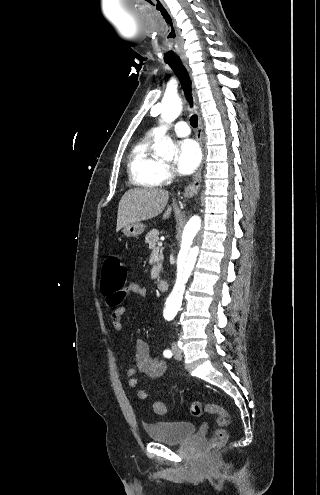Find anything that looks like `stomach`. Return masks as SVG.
<instances>
[{
    "label": "stomach",
    "instance_id": "stomach-1",
    "mask_svg": "<svg viewBox=\"0 0 320 495\" xmlns=\"http://www.w3.org/2000/svg\"><path fill=\"white\" fill-rule=\"evenodd\" d=\"M144 230L145 225L140 222L129 223L123 227V233L127 237L139 236Z\"/></svg>",
    "mask_w": 320,
    "mask_h": 495
}]
</instances>
